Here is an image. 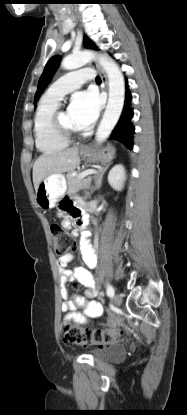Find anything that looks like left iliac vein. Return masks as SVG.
Instances as JSON below:
<instances>
[{
  "mask_svg": "<svg viewBox=\"0 0 187 415\" xmlns=\"http://www.w3.org/2000/svg\"><path fill=\"white\" fill-rule=\"evenodd\" d=\"M121 303H122V296H121V294H119V293H116L115 295H114V304H115V306H120L121 305Z\"/></svg>",
  "mask_w": 187,
  "mask_h": 415,
  "instance_id": "left-iliac-vein-1",
  "label": "left iliac vein"
}]
</instances>
